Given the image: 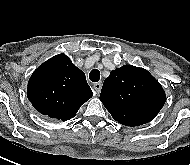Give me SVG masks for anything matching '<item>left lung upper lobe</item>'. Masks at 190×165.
Here are the masks:
<instances>
[{
	"label": "left lung upper lobe",
	"instance_id": "obj_1",
	"mask_svg": "<svg viewBox=\"0 0 190 165\" xmlns=\"http://www.w3.org/2000/svg\"><path fill=\"white\" fill-rule=\"evenodd\" d=\"M100 100L116 121L137 126L150 122L166 97L160 83L147 70L123 65L105 79Z\"/></svg>",
	"mask_w": 190,
	"mask_h": 165
}]
</instances>
